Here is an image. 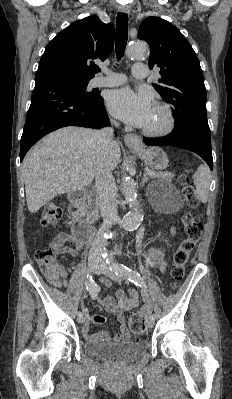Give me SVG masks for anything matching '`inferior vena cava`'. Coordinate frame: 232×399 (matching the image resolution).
I'll list each match as a JSON object with an SVG mask.
<instances>
[{
    "label": "inferior vena cava",
    "mask_w": 232,
    "mask_h": 399,
    "mask_svg": "<svg viewBox=\"0 0 232 399\" xmlns=\"http://www.w3.org/2000/svg\"><path fill=\"white\" fill-rule=\"evenodd\" d=\"M112 126L118 128V122H112ZM113 128H103L100 132H95L93 138L98 140L99 144H102L104 148H108L113 144ZM96 188L97 194L100 200L101 213L103 215L102 227H100L102 233L107 231L108 227H111L113 223H116L118 217L117 211V200H116V182L112 176L111 170L106 168L104 164H101L100 168H97L96 172ZM100 241H93L91 247H89V262L94 261L101 262L99 252H102L104 248H107V241L103 235H97Z\"/></svg>",
    "instance_id": "602c4592"
}]
</instances>
